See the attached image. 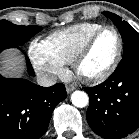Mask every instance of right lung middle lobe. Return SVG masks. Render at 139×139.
<instances>
[{
  "label": "right lung middle lobe",
  "instance_id": "right-lung-middle-lobe-1",
  "mask_svg": "<svg viewBox=\"0 0 139 139\" xmlns=\"http://www.w3.org/2000/svg\"><path fill=\"white\" fill-rule=\"evenodd\" d=\"M42 30L39 26H19L7 20L0 21V45L11 43L23 45L32 36Z\"/></svg>",
  "mask_w": 139,
  "mask_h": 139
}]
</instances>
